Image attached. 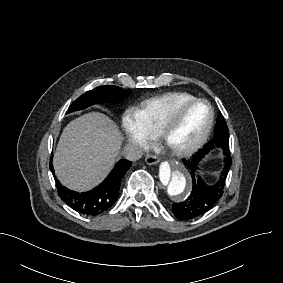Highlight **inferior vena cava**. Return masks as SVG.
Returning <instances> with one entry per match:
<instances>
[{"label": "inferior vena cava", "instance_id": "1", "mask_svg": "<svg viewBox=\"0 0 283 283\" xmlns=\"http://www.w3.org/2000/svg\"><path fill=\"white\" fill-rule=\"evenodd\" d=\"M144 155L143 149L139 145H127L123 150V156L129 161H137Z\"/></svg>", "mask_w": 283, "mask_h": 283}]
</instances>
